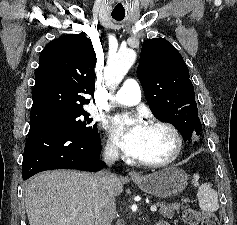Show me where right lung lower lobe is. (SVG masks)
<instances>
[{"label":"right lung lower lobe","mask_w":237,"mask_h":225,"mask_svg":"<svg viewBox=\"0 0 237 225\" xmlns=\"http://www.w3.org/2000/svg\"><path fill=\"white\" fill-rule=\"evenodd\" d=\"M101 140L99 135L80 136L45 126H30L26 141L22 177L53 169L99 171Z\"/></svg>","instance_id":"right-lung-lower-lobe-1"}]
</instances>
